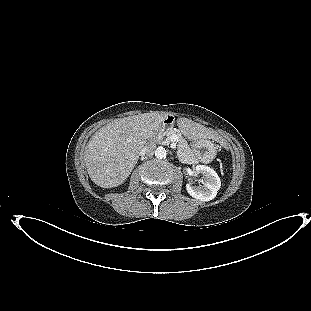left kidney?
<instances>
[{"label":"left kidney","mask_w":311,"mask_h":311,"mask_svg":"<svg viewBox=\"0 0 311 311\" xmlns=\"http://www.w3.org/2000/svg\"><path fill=\"white\" fill-rule=\"evenodd\" d=\"M195 172L203 176V185L193 186L186 185V190L190 196L200 201H210L217 195L221 187V181L218 174L210 167L205 165H197Z\"/></svg>","instance_id":"obj_1"}]
</instances>
